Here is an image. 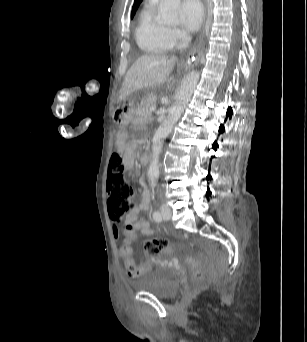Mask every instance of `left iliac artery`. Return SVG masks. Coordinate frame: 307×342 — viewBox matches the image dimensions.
Returning <instances> with one entry per match:
<instances>
[{"label": "left iliac artery", "mask_w": 307, "mask_h": 342, "mask_svg": "<svg viewBox=\"0 0 307 342\" xmlns=\"http://www.w3.org/2000/svg\"><path fill=\"white\" fill-rule=\"evenodd\" d=\"M153 219H154L155 221H158V222L162 220L161 215H160V213H159L158 211H155V212L153 213Z\"/></svg>", "instance_id": "1"}]
</instances>
